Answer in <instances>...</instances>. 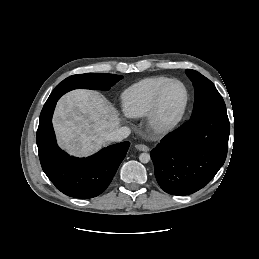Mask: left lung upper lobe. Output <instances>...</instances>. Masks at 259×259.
Masks as SVG:
<instances>
[{"label":"left lung upper lobe","mask_w":259,"mask_h":259,"mask_svg":"<svg viewBox=\"0 0 259 259\" xmlns=\"http://www.w3.org/2000/svg\"><path fill=\"white\" fill-rule=\"evenodd\" d=\"M186 74L195 88V102L191 117L207 111H226L223 98L209 79L191 69H187Z\"/></svg>","instance_id":"1"}]
</instances>
